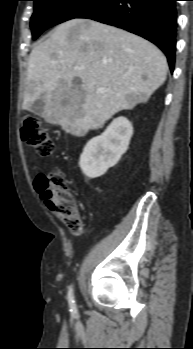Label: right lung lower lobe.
I'll return each mask as SVG.
<instances>
[{
	"instance_id": "right-lung-lower-lobe-1",
	"label": "right lung lower lobe",
	"mask_w": 193,
	"mask_h": 349,
	"mask_svg": "<svg viewBox=\"0 0 193 349\" xmlns=\"http://www.w3.org/2000/svg\"><path fill=\"white\" fill-rule=\"evenodd\" d=\"M177 0H98L77 18L125 29L156 44L174 70Z\"/></svg>"
}]
</instances>
